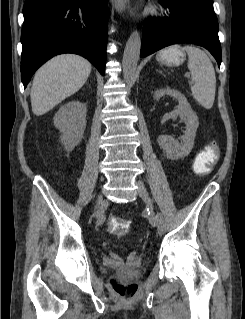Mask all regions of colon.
I'll return each mask as SVG.
<instances>
[{"label": "colon", "instance_id": "1", "mask_svg": "<svg viewBox=\"0 0 245 319\" xmlns=\"http://www.w3.org/2000/svg\"><path fill=\"white\" fill-rule=\"evenodd\" d=\"M219 157V147L216 144L207 145L195 158L193 171L198 176L208 175ZM110 230L117 236L127 234L130 224L126 218L113 217L109 220ZM114 291L123 299L127 300L137 292L138 285L135 282L120 283L116 280L111 282Z\"/></svg>", "mask_w": 245, "mask_h": 319}]
</instances>
